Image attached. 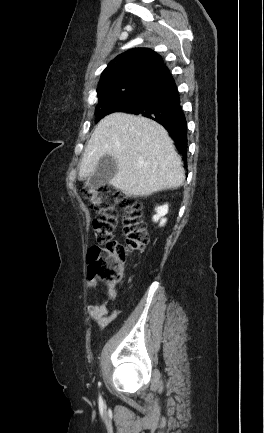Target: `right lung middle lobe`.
<instances>
[{"instance_id": "dd1d6c3e", "label": "right lung middle lobe", "mask_w": 264, "mask_h": 433, "mask_svg": "<svg viewBox=\"0 0 264 433\" xmlns=\"http://www.w3.org/2000/svg\"><path fill=\"white\" fill-rule=\"evenodd\" d=\"M141 86L130 87L120 92L99 98L96 106L95 114L97 116L96 122L102 119L109 113L115 111H127L130 103L136 98Z\"/></svg>"}]
</instances>
